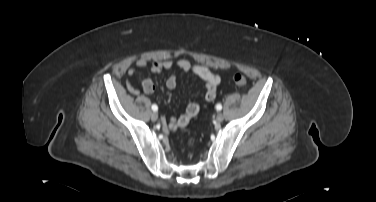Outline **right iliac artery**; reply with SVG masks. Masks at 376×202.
Listing matches in <instances>:
<instances>
[{
    "instance_id": "1",
    "label": "right iliac artery",
    "mask_w": 376,
    "mask_h": 202,
    "mask_svg": "<svg viewBox=\"0 0 376 202\" xmlns=\"http://www.w3.org/2000/svg\"><path fill=\"white\" fill-rule=\"evenodd\" d=\"M152 110H153V111H157V110H158L157 105L153 104V105H152Z\"/></svg>"
}]
</instances>
